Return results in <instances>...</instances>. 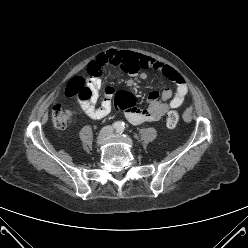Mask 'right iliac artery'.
<instances>
[{"instance_id": "right-iliac-artery-1", "label": "right iliac artery", "mask_w": 248, "mask_h": 248, "mask_svg": "<svg viewBox=\"0 0 248 248\" xmlns=\"http://www.w3.org/2000/svg\"><path fill=\"white\" fill-rule=\"evenodd\" d=\"M122 124L123 123H121V122H115L112 126H113V128L119 130L121 128Z\"/></svg>"}]
</instances>
